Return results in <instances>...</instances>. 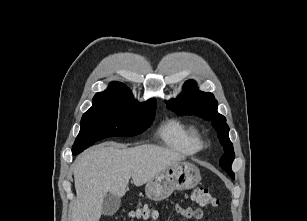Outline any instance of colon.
Segmentation results:
<instances>
[{"label": "colon", "instance_id": "5ec220e1", "mask_svg": "<svg viewBox=\"0 0 307 221\" xmlns=\"http://www.w3.org/2000/svg\"><path fill=\"white\" fill-rule=\"evenodd\" d=\"M191 198L194 202L203 207H216L219 203L217 197L205 187L195 188ZM136 216L142 218H155L157 215L152 208L144 204L139 206Z\"/></svg>", "mask_w": 307, "mask_h": 221}]
</instances>
